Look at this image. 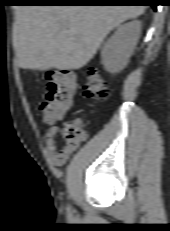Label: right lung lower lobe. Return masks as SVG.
Wrapping results in <instances>:
<instances>
[{
  "mask_svg": "<svg viewBox=\"0 0 170 231\" xmlns=\"http://www.w3.org/2000/svg\"><path fill=\"white\" fill-rule=\"evenodd\" d=\"M28 5H149L156 10L158 0H27Z\"/></svg>",
  "mask_w": 170,
  "mask_h": 231,
  "instance_id": "obj_1",
  "label": "right lung lower lobe"
}]
</instances>
